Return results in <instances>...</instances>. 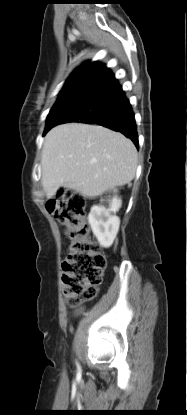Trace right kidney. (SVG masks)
Here are the masks:
<instances>
[{
	"mask_svg": "<svg viewBox=\"0 0 187 415\" xmlns=\"http://www.w3.org/2000/svg\"><path fill=\"white\" fill-rule=\"evenodd\" d=\"M121 207V199L114 196L108 207L93 206L88 216L89 224L99 244L105 248L110 247L119 230L120 219L115 213Z\"/></svg>",
	"mask_w": 187,
	"mask_h": 415,
	"instance_id": "1",
	"label": "right kidney"
}]
</instances>
